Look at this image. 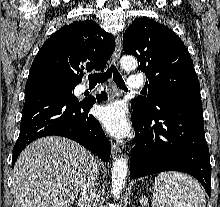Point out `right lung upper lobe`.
Wrapping results in <instances>:
<instances>
[{
  "mask_svg": "<svg viewBox=\"0 0 220 207\" xmlns=\"http://www.w3.org/2000/svg\"><path fill=\"white\" fill-rule=\"evenodd\" d=\"M114 50V37L95 21H75L52 34L39 49L28 80L51 78L77 85L84 69L103 70Z\"/></svg>",
  "mask_w": 220,
  "mask_h": 207,
  "instance_id": "cb5924a9",
  "label": "right lung upper lobe"
}]
</instances>
